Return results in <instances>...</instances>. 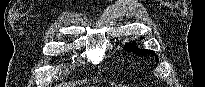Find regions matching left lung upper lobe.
<instances>
[{
  "instance_id": "left-lung-upper-lobe-1",
  "label": "left lung upper lobe",
  "mask_w": 205,
  "mask_h": 87,
  "mask_svg": "<svg viewBox=\"0 0 205 87\" xmlns=\"http://www.w3.org/2000/svg\"><path fill=\"white\" fill-rule=\"evenodd\" d=\"M124 48L127 49L128 51L134 52V53H136V54H138V55L155 54V52H154V51H151V50H146V49L140 50V49H138V48L136 47V43H135V42L128 44V45H127L126 47H124ZM155 57H156V59H157V61H158V58H157L156 55H155Z\"/></svg>"
}]
</instances>
